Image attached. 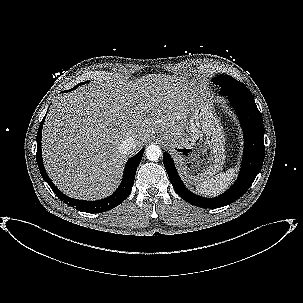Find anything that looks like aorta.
<instances>
[{"label":"aorta","instance_id":"1","mask_svg":"<svg viewBox=\"0 0 303 303\" xmlns=\"http://www.w3.org/2000/svg\"><path fill=\"white\" fill-rule=\"evenodd\" d=\"M145 154L148 160L157 161L160 158L162 151L158 145L151 144L146 148Z\"/></svg>","mask_w":303,"mask_h":303}]
</instances>
